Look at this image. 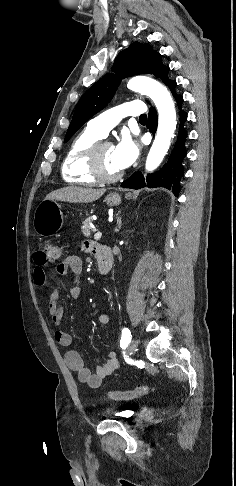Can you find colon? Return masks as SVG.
<instances>
[{
	"label": "colon",
	"mask_w": 236,
	"mask_h": 486,
	"mask_svg": "<svg viewBox=\"0 0 236 486\" xmlns=\"http://www.w3.org/2000/svg\"><path fill=\"white\" fill-rule=\"evenodd\" d=\"M42 253L43 259L47 261H56L63 255V247L54 242L47 241L44 244ZM152 391V387L148 384L138 385L125 391H109L108 397L116 401L133 400L149 394Z\"/></svg>",
	"instance_id": "1"
}]
</instances>
